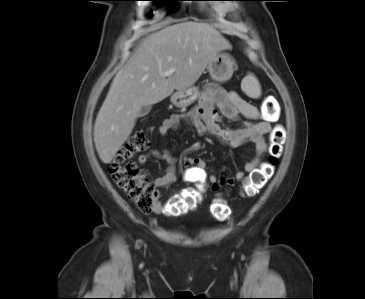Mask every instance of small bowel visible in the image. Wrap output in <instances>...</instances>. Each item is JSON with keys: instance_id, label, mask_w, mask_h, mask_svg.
<instances>
[{"instance_id": "small-bowel-1", "label": "small bowel", "mask_w": 365, "mask_h": 299, "mask_svg": "<svg viewBox=\"0 0 365 299\" xmlns=\"http://www.w3.org/2000/svg\"><path fill=\"white\" fill-rule=\"evenodd\" d=\"M220 115L235 122L243 117L245 121L239 127L225 128L220 124ZM181 122L190 124L199 135L216 137L230 147L236 148L245 142H252L256 148L255 156L245 164L243 170L237 171L232 177L222 179L206 171V163L202 158L188 157L184 160V166L189 181L207 182L214 188L224 184L233 185L235 182L241 181L246 174L257 170L261 165L262 157L268 150L265 137L271 130L270 122L263 118L251 103L241 98L237 93L225 92L214 85H209L204 89L198 104L189 111L174 113L167 117L158 128L159 135L166 136L170 131L176 129ZM151 157L166 160L168 163L166 172L154 179V186L163 188L175 182L174 157L166 151L154 149L149 154L139 156L138 161L143 165ZM156 197L158 198L157 191ZM155 211H163L160 203H156Z\"/></svg>"}]
</instances>
